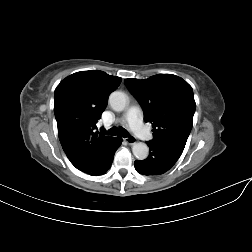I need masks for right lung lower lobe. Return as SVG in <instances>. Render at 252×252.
Masks as SVG:
<instances>
[{
  "mask_svg": "<svg viewBox=\"0 0 252 252\" xmlns=\"http://www.w3.org/2000/svg\"><path fill=\"white\" fill-rule=\"evenodd\" d=\"M122 138L115 137L111 140V142L108 144L106 154L102 161L93 169L88 170H81L87 174L90 175H103L105 174L111 167V164L113 162V157L115 154V151L119 148L121 145Z\"/></svg>",
  "mask_w": 252,
  "mask_h": 252,
  "instance_id": "1",
  "label": "right lung lower lobe"
}]
</instances>
